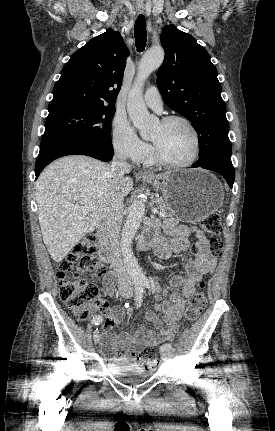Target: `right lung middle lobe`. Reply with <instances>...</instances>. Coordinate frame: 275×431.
<instances>
[{
    "instance_id": "1",
    "label": "right lung middle lobe",
    "mask_w": 275,
    "mask_h": 431,
    "mask_svg": "<svg viewBox=\"0 0 275 431\" xmlns=\"http://www.w3.org/2000/svg\"><path fill=\"white\" fill-rule=\"evenodd\" d=\"M114 113L115 107L110 106L77 107L49 112L44 136L75 135L112 146L110 124Z\"/></svg>"
}]
</instances>
